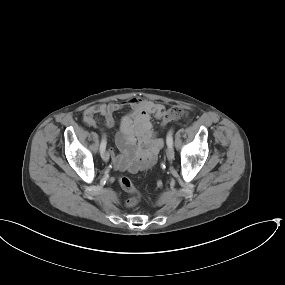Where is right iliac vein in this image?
Returning a JSON list of instances; mask_svg holds the SVG:
<instances>
[{"label":"right iliac vein","instance_id":"obj_1","mask_svg":"<svg viewBox=\"0 0 285 285\" xmlns=\"http://www.w3.org/2000/svg\"><path fill=\"white\" fill-rule=\"evenodd\" d=\"M102 159L105 161V162H108L109 161V158H110V155H109V152L108 151H103L102 154Z\"/></svg>","mask_w":285,"mask_h":285}]
</instances>
